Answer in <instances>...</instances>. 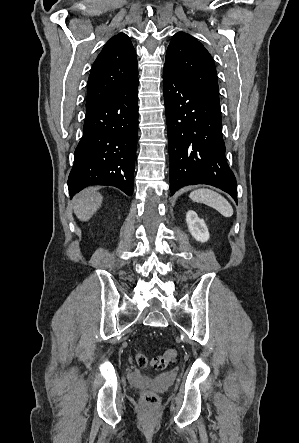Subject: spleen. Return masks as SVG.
<instances>
[{"label": "spleen", "instance_id": "obj_1", "mask_svg": "<svg viewBox=\"0 0 299 443\" xmlns=\"http://www.w3.org/2000/svg\"><path fill=\"white\" fill-rule=\"evenodd\" d=\"M189 197L198 203L206 204L215 210H217L224 217H231L233 215V208L231 204L219 193L202 188L194 190L190 193Z\"/></svg>", "mask_w": 299, "mask_h": 443}]
</instances>
